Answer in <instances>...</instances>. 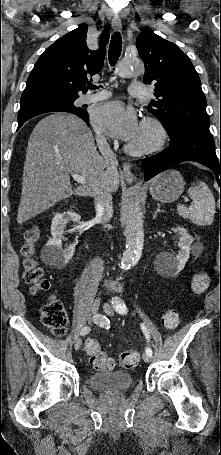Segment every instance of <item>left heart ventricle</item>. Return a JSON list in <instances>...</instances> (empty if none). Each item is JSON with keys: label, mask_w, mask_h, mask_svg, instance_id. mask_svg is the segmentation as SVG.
<instances>
[{"label": "left heart ventricle", "mask_w": 221, "mask_h": 455, "mask_svg": "<svg viewBox=\"0 0 221 455\" xmlns=\"http://www.w3.org/2000/svg\"><path fill=\"white\" fill-rule=\"evenodd\" d=\"M151 139V133L147 129L139 128L136 136L131 140V142L140 144L147 142Z\"/></svg>", "instance_id": "left-heart-ventricle-1"}]
</instances>
